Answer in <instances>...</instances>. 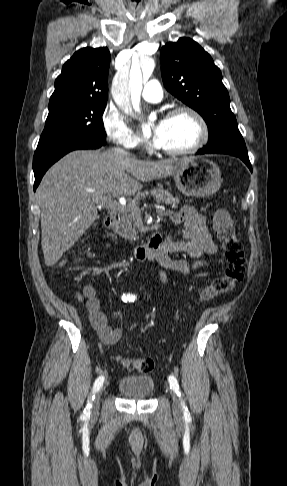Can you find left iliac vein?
I'll return each instance as SVG.
<instances>
[{"label": "left iliac vein", "instance_id": "left-iliac-vein-1", "mask_svg": "<svg viewBox=\"0 0 287 486\" xmlns=\"http://www.w3.org/2000/svg\"><path fill=\"white\" fill-rule=\"evenodd\" d=\"M170 394L172 397V410H173V415L175 418H181L182 417V410L180 406L179 399L175 392L173 390H170Z\"/></svg>", "mask_w": 287, "mask_h": 486}]
</instances>
